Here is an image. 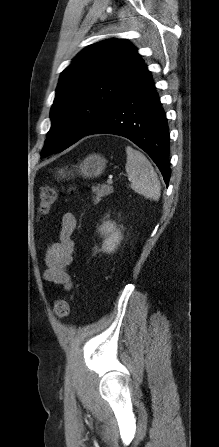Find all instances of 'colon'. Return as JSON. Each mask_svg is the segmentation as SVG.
<instances>
[{
	"mask_svg": "<svg viewBox=\"0 0 219 447\" xmlns=\"http://www.w3.org/2000/svg\"><path fill=\"white\" fill-rule=\"evenodd\" d=\"M58 196V190L52 186H45L41 189L38 211L41 216L49 213L51 206ZM70 302L66 299H59L54 304V313L58 318H65L70 313Z\"/></svg>",
	"mask_w": 219,
	"mask_h": 447,
	"instance_id": "5ec220e1",
	"label": "colon"
}]
</instances>
